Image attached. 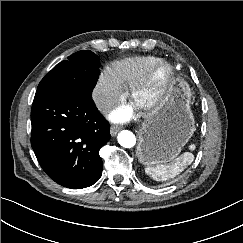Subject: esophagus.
<instances>
[{"mask_svg": "<svg viewBox=\"0 0 243 243\" xmlns=\"http://www.w3.org/2000/svg\"><path fill=\"white\" fill-rule=\"evenodd\" d=\"M119 130H120V127H119V126H113V127L111 128V130H110V134H111V136H116L117 133L119 132Z\"/></svg>", "mask_w": 243, "mask_h": 243, "instance_id": "34e87169", "label": "esophagus"}]
</instances>
